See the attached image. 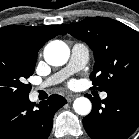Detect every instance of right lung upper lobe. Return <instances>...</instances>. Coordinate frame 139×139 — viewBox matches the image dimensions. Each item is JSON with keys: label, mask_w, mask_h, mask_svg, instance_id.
Returning <instances> with one entry per match:
<instances>
[{"label": "right lung upper lobe", "mask_w": 139, "mask_h": 139, "mask_svg": "<svg viewBox=\"0 0 139 139\" xmlns=\"http://www.w3.org/2000/svg\"><path fill=\"white\" fill-rule=\"evenodd\" d=\"M66 34L59 26L9 25L0 29V45H10L37 57L38 50L50 39Z\"/></svg>", "instance_id": "obj_1"}]
</instances>
